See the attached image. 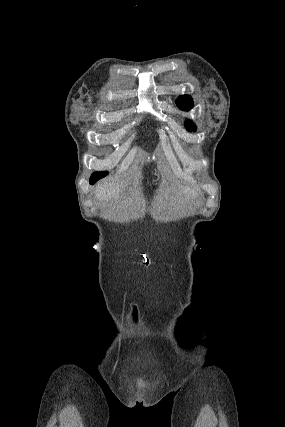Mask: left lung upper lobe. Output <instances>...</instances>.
<instances>
[{
  "label": "left lung upper lobe",
  "mask_w": 285,
  "mask_h": 427,
  "mask_svg": "<svg viewBox=\"0 0 285 427\" xmlns=\"http://www.w3.org/2000/svg\"><path fill=\"white\" fill-rule=\"evenodd\" d=\"M176 104L181 110H190L193 107L192 98L188 95L180 96L176 100ZM185 127L188 131L195 130V126L192 121L188 120L185 122Z\"/></svg>",
  "instance_id": "obj_1"
}]
</instances>
